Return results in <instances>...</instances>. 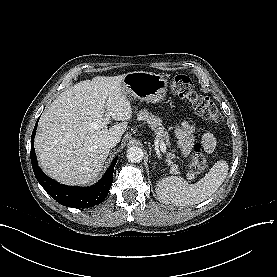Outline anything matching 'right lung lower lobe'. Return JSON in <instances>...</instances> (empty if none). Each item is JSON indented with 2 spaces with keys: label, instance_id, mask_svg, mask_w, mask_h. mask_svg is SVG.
<instances>
[{
  "label": "right lung lower lobe",
  "instance_id": "98d812e1",
  "mask_svg": "<svg viewBox=\"0 0 277 277\" xmlns=\"http://www.w3.org/2000/svg\"><path fill=\"white\" fill-rule=\"evenodd\" d=\"M38 121L34 127L31 137V162L34 174L45 189L58 203L72 208H88L100 204L108 195L113 181V170L117 162V157L113 160L103 178L95 185L90 187H73L62 185L49 178L38 166L34 150V137Z\"/></svg>",
  "mask_w": 277,
  "mask_h": 277
}]
</instances>
